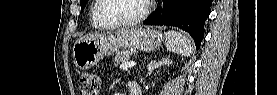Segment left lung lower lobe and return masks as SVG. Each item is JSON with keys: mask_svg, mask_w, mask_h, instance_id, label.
<instances>
[{"mask_svg": "<svg viewBox=\"0 0 277 95\" xmlns=\"http://www.w3.org/2000/svg\"><path fill=\"white\" fill-rule=\"evenodd\" d=\"M212 0H163L145 21L146 25L179 27L194 38L198 49L204 37V23L211 12Z\"/></svg>", "mask_w": 277, "mask_h": 95, "instance_id": "0a47b994", "label": "left lung lower lobe"}]
</instances>
